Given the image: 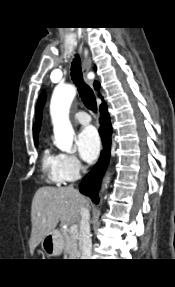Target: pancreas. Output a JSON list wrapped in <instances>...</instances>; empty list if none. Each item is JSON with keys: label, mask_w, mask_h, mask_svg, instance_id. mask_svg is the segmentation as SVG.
Returning <instances> with one entry per match:
<instances>
[{"label": "pancreas", "mask_w": 175, "mask_h": 287, "mask_svg": "<svg viewBox=\"0 0 175 287\" xmlns=\"http://www.w3.org/2000/svg\"><path fill=\"white\" fill-rule=\"evenodd\" d=\"M62 235L65 240L64 249L71 258L80 256L79 233H71L70 229H62Z\"/></svg>", "instance_id": "pancreas-1"}]
</instances>
